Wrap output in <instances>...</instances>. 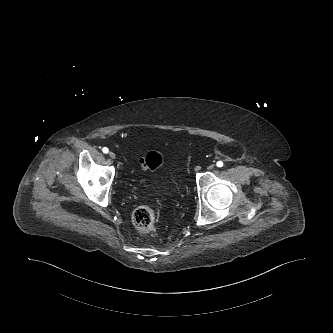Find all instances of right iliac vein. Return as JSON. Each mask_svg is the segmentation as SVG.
<instances>
[{"label": "right iliac vein", "mask_w": 333, "mask_h": 333, "mask_svg": "<svg viewBox=\"0 0 333 333\" xmlns=\"http://www.w3.org/2000/svg\"><path fill=\"white\" fill-rule=\"evenodd\" d=\"M109 157L112 158V159H115L116 155H115L114 152H109Z\"/></svg>", "instance_id": "right-iliac-vein-1"}]
</instances>
